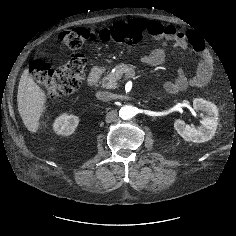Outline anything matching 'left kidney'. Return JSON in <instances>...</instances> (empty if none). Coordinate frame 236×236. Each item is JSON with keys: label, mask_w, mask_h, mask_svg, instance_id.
<instances>
[{"label": "left kidney", "mask_w": 236, "mask_h": 236, "mask_svg": "<svg viewBox=\"0 0 236 236\" xmlns=\"http://www.w3.org/2000/svg\"><path fill=\"white\" fill-rule=\"evenodd\" d=\"M193 108L205 114L202 116L201 126L198 128L190 127L183 120L177 119L174 122L175 130L185 141L203 143L211 140L218 126L219 112L217 106L202 98H195Z\"/></svg>", "instance_id": "5707ae66"}]
</instances>
